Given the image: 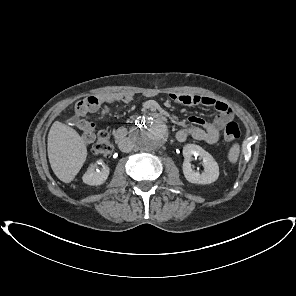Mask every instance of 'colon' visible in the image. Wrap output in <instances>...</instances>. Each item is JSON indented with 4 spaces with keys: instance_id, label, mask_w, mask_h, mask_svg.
<instances>
[{
    "instance_id": "obj_1",
    "label": "colon",
    "mask_w": 296,
    "mask_h": 296,
    "mask_svg": "<svg viewBox=\"0 0 296 296\" xmlns=\"http://www.w3.org/2000/svg\"><path fill=\"white\" fill-rule=\"evenodd\" d=\"M240 135V129L235 122H229L224 129V139L227 142L236 140ZM92 151L95 155L109 157L112 154L113 147L107 132L99 133L95 143L92 146Z\"/></svg>"
}]
</instances>
